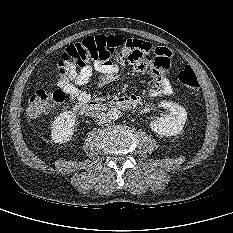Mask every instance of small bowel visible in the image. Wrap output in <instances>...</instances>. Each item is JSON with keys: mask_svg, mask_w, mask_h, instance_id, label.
I'll return each mask as SVG.
<instances>
[{"mask_svg": "<svg viewBox=\"0 0 233 233\" xmlns=\"http://www.w3.org/2000/svg\"><path fill=\"white\" fill-rule=\"evenodd\" d=\"M138 47L133 48L125 59V66L131 72L141 71L152 73V85L149 95L158 97L172 93V85L167 77L172 52L166 47H153L150 43L136 40ZM121 70L118 63H93L78 70H69L59 74L58 87L73 103H85L90 100V94L84 90L93 77L94 72L99 74L95 83L98 86L114 81Z\"/></svg>", "mask_w": 233, "mask_h": 233, "instance_id": "small-bowel-1", "label": "small bowel"}]
</instances>
